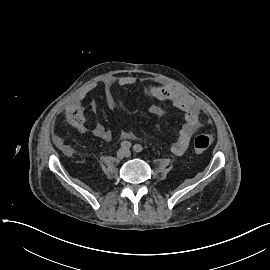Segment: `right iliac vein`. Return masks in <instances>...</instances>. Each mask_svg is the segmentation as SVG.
Returning a JSON list of instances; mask_svg holds the SVG:
<instances>
[{"mask_svg":"<svg viewBox=\"0 0 270 270\" xmlns=\"http://www.w3.org/2000/svg\"><path fill=\"white\" fill-rule=\"evenodd\" d=\"M126 156V151L124 149H119L117 152V158L123 159Z\"/></svg>","mask_w":270,"mask_h":270,"instance_id":"obj_1","label":"right iliac vein"}]
</instances>
